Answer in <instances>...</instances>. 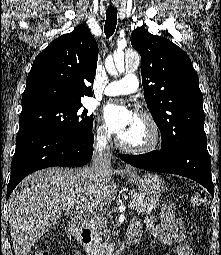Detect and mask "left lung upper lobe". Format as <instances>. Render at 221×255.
<instances>
[{"instance_id":"left-lung-upper-lobe-1","label":"left lung upper lobe","mask_w":221,"mask_h":255,"mask_svg":"<svg viewBox=\"0 0 221 255\" xmlns=\"http://www.w3.org/2000/svg\"><path fill=\"white\" fill-rule=\"evenodd\" d=\"M130 40L141 55L144 97L162 148L175 151L190 141H206L203 95L186 52L144 27L135 29Z\"/></svg>"}]
</instances>
